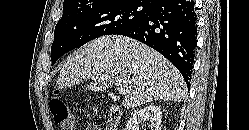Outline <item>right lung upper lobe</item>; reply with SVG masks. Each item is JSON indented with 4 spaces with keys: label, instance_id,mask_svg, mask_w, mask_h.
Masks as SVG:
<instances>
[{
    "label": "right lung upper lobe",
    "instance_id": "obj_1",
    "mask_svg": "<svg viewBox=\"0 0 249 130\" xmlns=\"http://www.w3.org/2000/svg\"><path fill=\"white\" fill-rule=\"evenodd\" d=\"M106 1H111V0H64L63 12L81 9L86 6H90L93 4H98V3H102ZM134 1L147 2L150 6H152L158 0H134Z\"/></svg>",
    "mask_w": 249,
    "mask_h": 130
}]
</instances>
